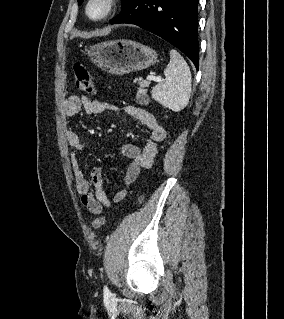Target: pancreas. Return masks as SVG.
<instances>
[{
  "mask_svg": "<svg viewBox=\"0 0 284 319\" xmlns=\"http://www.w3.org/2000/svg\"><path fill=\"white\" fill-rule=\"evenodd\" d=\"M139 86L140 87L138 88L136 96L137 103H139L140 105H146L149 103L150 100L147 95V87L149 86V83L147 81H141L139 83Z\"/></svg>",
  "mask_w": 284,
  "mask_h": 319,
  "instance_id": "pancreas-1",
  "label": "pancreas"
}]
</instances>
